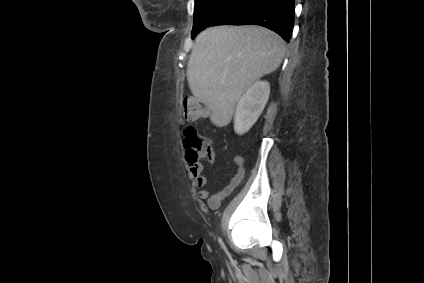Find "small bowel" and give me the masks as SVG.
I'll return each instance as SVG.
<instances>
[{
  "label": "small bowel",
  "instance_id": "small-bowel-1",
  "mask_svg": "<svg viewBox=\"0 0 424 283\" xmlns=\"http://www.w3.org/2000/svg\"><path fill=\"white\" fill-rule=\"evenodd\" d=\"M185 162L194 185L201 188L198 191V197L206 201L207 205L212 209L218 208L221 205V201L240 185L245 174L244 159L242 156L237 155L234 157L235 173L230 182L221 191L212 194L208 189L203 188L208 182L207 176L203 172V165L198 161H191L188 155L185 157Z\"/></svg>",
  "mask_w": 424,
  "mask_h": 283
}]
</instances>
